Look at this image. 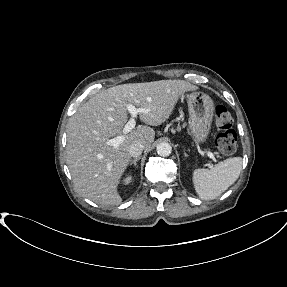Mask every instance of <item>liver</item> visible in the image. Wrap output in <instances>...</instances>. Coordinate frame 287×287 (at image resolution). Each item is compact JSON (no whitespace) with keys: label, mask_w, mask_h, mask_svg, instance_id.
<instances>
[{"label":"liver","mask_w":287,"mask_h":287,"mask_svg":"<svg viewBox=\"0 0 287 287\" xmlns=\"http://www.w3.org/2000/svg\"><path fill=\"white\" fill-rule=\"evenodd\" d=\"M196 90L184 80L130 83L103 90L84 103L69 119L66 130V163L77 192L101 206L121 204L117 187L131 159L130 145L150 146L155 138L150 126L168 120L180 96ZM129 104L149 110L139 117L150 126L138 125L123 133ZM116 135H123L124 141L117 147L107 145Z\"/></svg>","instance_id":"6515ba94"}]
</instances>
